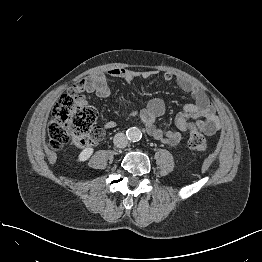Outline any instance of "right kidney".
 <instances>
[{
  "instance_id": "right-kidney-1",
  "label": "right kidney",
  "mask_w": 262,
  "mask_h": 262,
  "mask_svg": "<svg viewBox=\"0 0 262 262\" xmlns=\"http://www.w3.org/2000/svg\"><path fill=\"white\" fill-rule=\"evenodd\" d=\"M92 154H93V148H85L79 154L78 161L84 162V161L88 160Z\"/></svg>"
}]
</instances>
